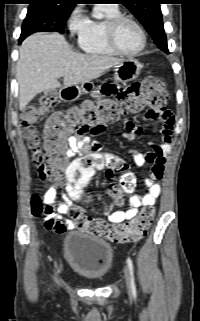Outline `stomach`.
<instances>
[{
    "label": "stomach",
    "mask_w": 200,
    "mask_h": 321,
    "mask_svg": "<svg viewBox=\"0 0 200 321\" xmlns=\"http://www.w3.org/2000/svg\"><path fill=\"white\" fill-rule=\"evenodd\" d=\"M141 63L134 58L123 60L118 65L114 66V80L116 82H129L135 80L141 72ZM93 89L92 82H86L81 85L64 87L59 96L66 101L77 100L83 93H88Z\"/></svg>",
    "instance_id": "1"
}]
</instances>
